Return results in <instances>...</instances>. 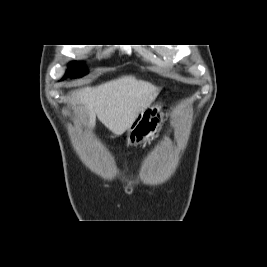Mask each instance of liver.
<instances>
[{
	"mask_svg": "<svg viewBox=\"0 0 267 267\" xmlns=\"http://www.w3.org/2000/svg\"><path fill=\"white\" fill-rule=\"evenodd\" d=\"M159 92L160 88L129 75L82 89L73 102L84 106L88 127H95L97 116L112 133L121 135L155 101Z\"/></svg>",
	"mask_w": 267,
	"mask_h": 267,
	"instance_id": "obj_1",
	"label": "liver"
}]
</instances>
